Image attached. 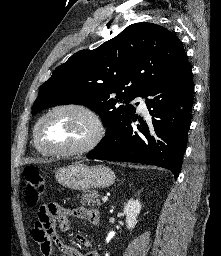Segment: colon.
Listing matches in <instances>:
<instances>
[{
	"mask_svg": "<svg viewBox=\"0 0 221 256\" xmlns=\"http://www.w3.org/2000/svg\"><path fill=\"white\" fill-rule=\"evenodd\" d=\"M25 200L28 206H35L44 193L45 181L41 171L35 166L24 169Z\"/></svg>",
	"mask_w": 221,
	"mask_h": 256,
	"instance_id": "5ec220e1",
	"label": "colon"
}]
</instances>
